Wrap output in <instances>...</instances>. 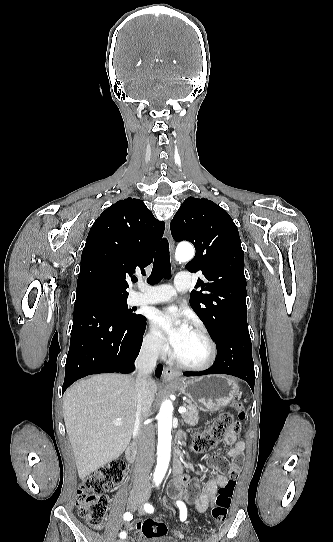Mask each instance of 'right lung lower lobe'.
Here are the masks:
<instances>
[{
    "label": "right lung lower lobe",
    "instance_id": "98d812e1",
    "mask_svg": "<svg viewBox=\"0 0 333 542\" xmlns=\"http://www.w3.org/2000/svg\"><path fill=\"white\" fill-rule=\"evenodd\" d=\"M107 255L103 250H95L91 259L103 261ZM145 328V317L130 322L116 317L94 299L75 301L62 392L87 375L132 372ZM162 369L159 364L155 371L157 377L161 376Z\"/></svg>",
    "mask_w": 333,
    "mask_h": 542
}]
</instances>
